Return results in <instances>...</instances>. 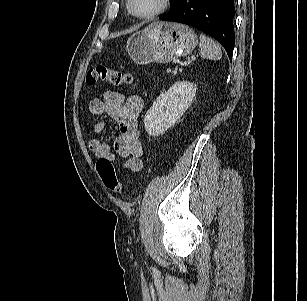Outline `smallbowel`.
I'll return each instance as SVG.
<instances>
[{"label": "small bowel", "instance_id": "1", "mask_svg": "<svg viewBox=\"0 0 307 301\" xmlns=\"http://www.w3.org/2000/svg\"><path fill=\"white\" fill-rule=\"evenodd\" d=\"M143 101L138 95L125 96L117 91H109L103 99L90 101L89 111L93 116L108 115L119 127L113 147L115 153L124 158L123 169L138 172L142 169V146L139 140L138 119L142 112ZM105 124L100 121L94 125V137L89 141V148L95 156L115 160L110 146L99 138Z\"/></svg>", "mask_w": 307, "mask_h": 301}]
</instances>
